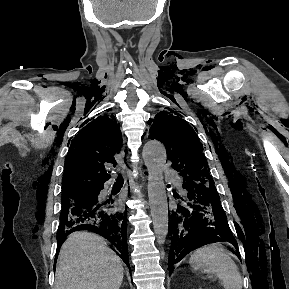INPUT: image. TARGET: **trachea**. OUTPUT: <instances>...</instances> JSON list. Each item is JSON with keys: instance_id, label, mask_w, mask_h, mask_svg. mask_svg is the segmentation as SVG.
I'll list each match as a JSON object with an SVG mask.
<instances>
[{"instance_id": "obj_1", "label": "trachea", "mask_w": 289, "mask_h": 289, "mask_svg": "<svg viewBox=\"0 0 289 289\" xmlns=\"http://www.w3.org/2000/svg\"><path fill=\"white\" fill-rule=\"evenodd\" d=\"M117 181H123V177H122L121 174L118 175V179H117Z\"/></svg>"}]
</instances>
